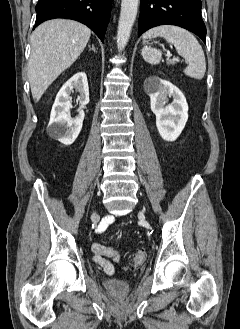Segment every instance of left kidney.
I'll list each match as a JSON object with an SVG mask.
<instances>
[{
	"label": "left kidney",
	"instance_id": "obj_1",
	"mask_svg": "<svg viewBox=\"0 0 240 329\" xmlns=\"http://www.w3.org/2000/svg\"><path fill=\"white\" fill-rule=\"evenodd\" d=\"M144 88L150 96L152 112L156 115V126L166 141H175L188 120V104L183 93L169 81L157 76L146 79ZM173 102L165 105L167 97Z\"/></svg>",
	"mask_w": 240,
	"mask_h": 329
}]
</instances>
